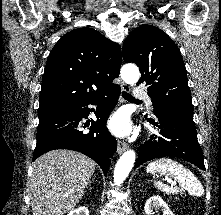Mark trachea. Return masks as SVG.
Wrapping results in <instances>:
<instances>
[{"mask_svg":"<svg viewBox=\"0 0 221 215\" xmlns=\"http://www.w3.org/2000/svg\"><path fill=\"white\" fill-rule=\"evenodd\" d=\"M122 96L126 99V100H128V101H134V102H142V101H140V100H138V99H135L133 96H131L129 93H127V92H122Z\"/></svg>","mask_w":221,"mask_h":215,"instance_id":"1","label":"trachea"}]
</instances>
